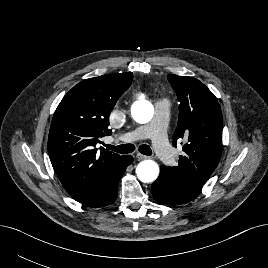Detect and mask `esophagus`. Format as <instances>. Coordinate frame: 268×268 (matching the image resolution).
Listing matches in <instances>:
<instances>
[{
    "instance_id": "obj_1",
    "label": "esophagus",
    "mask_w": 268,
    "mask_h": 268,
    "mask_svg": "<svg viewBox=\"0 0 268 268\" xmlns=\"http://www.w3.org/2000/svg\"><path fill=\"white\" fill-rule=\"evenodd\" d=\"M136 157H137L138 160H144V159H148L149 158L148 156L143 155V154H137Z\"/></svg>"
}]
</instances>
